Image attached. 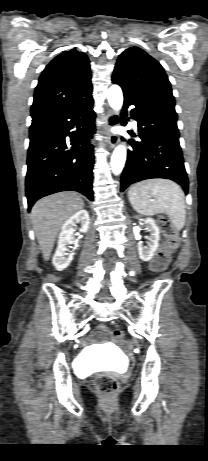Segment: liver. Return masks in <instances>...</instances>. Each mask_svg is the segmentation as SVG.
Masks as SVG:
<instances>
[{"mask_svg": "<svg viewBox=\"0 0 208 461\" xmlns=\"http://www.w3.org/2000/svg\"><path fill=\"white\" fill-rule=\"evenodd\" d=\"M83 207V200L75 192H60L35 203L31 210V219L45 261L51 256L63 223Z\"/></svg>", "mask_w": 208, "mask_h": 461, "instance_id": "obj_1", "label": "liver"}]
</instances>
